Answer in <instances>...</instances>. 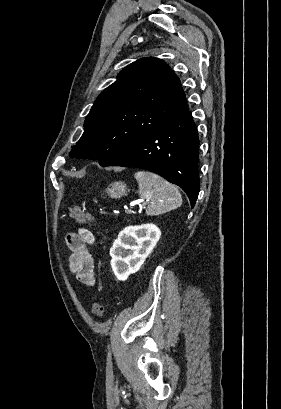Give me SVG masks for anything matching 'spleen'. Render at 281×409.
I'll return each mask as SVG.
<instances>
[{"mask_svg":"<svg viewBox=\"0 0 281 409\" xmlns=\"http://www.w3.org/2000/svg\"><path fill=\"white\" fill-rule=\"evenodd\" d=\"M134 176L139 184L141 198L151 200L146 209V215L154 217L181 207L182 196L175 184L147 170H138Z\"/></svg>","mask_w":281,"mask_h":409,"instance_id":"spleen-1","label":"spleen"}]
</instances>
